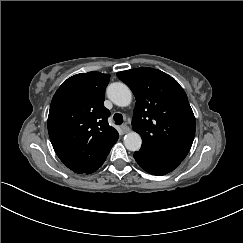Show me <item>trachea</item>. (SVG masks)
Returning a JSON list of instances; mask_svg holds the SVG:
<instances>
[{"label":"trachea","mask_w":243,"mask_h":243,"mask_svg":"<svg viewBox=\"0 0 243 243\" xmlns=\"http://www.w3.org/2000/svg\"><path fill=\"white\" fill-rule=\"evenodd\" d=\"M113 120L115 121L116 125H121L123 123V116L119 113H115L113 115Z\"/></svg>","instance_id":"3493384b"}]
</instances>
